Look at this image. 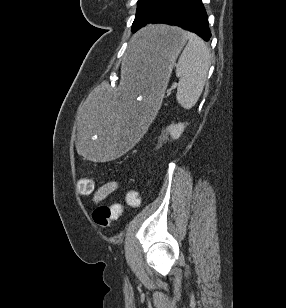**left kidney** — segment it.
<instances>
[{
	"label": "left kidney",
	"instance_id": "5707ae66",
	"mask_svg": "<svg viewBox=\"0 0 286 308\" xmlns=\"http://www.w3.org/2000/svg\"><path fill=\"white\" fill-rule=\"evenodd\" d=\"M185 128L184 123H178V124H171L167 127V132L170 133L173 139H178L181 134L183 133Z\"/></svg>",
	"mask_w": 286,
	"mask_h": 308
}]
</instances>
